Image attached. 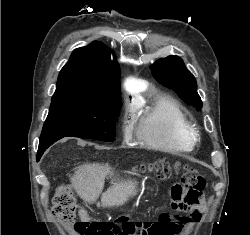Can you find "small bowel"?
Returning <instances> with one entry per match:
<instances>
[{
  "label": "small bowel",
  "instance_id": "c3829d8e",
  "mask_svg": "<svg viewBox=\"0 0 250 235\" xmlns=\"http://www.w3.org/2000/svg\"><path fill=\"white\" fill-rule=\"evenodd\" d=\"M183 207L182 210H177L174 217L165 216L159 220L166 229L165 235H179L187 222H198L201 213L205 209L202 201L198 205L184 204ZM79 215L81 218H86L87 212L80 209ZM129 235H140V233L139 231L130 232Z\"/></svg>",
  "mask_w": 250,
  "mask_h": 235
}]
</instances>
